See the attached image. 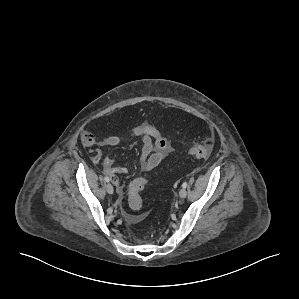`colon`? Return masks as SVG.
<instances>
[{
	"label": "colon",
	"instance_id": "colon-1",
	"mask_svg": "<svg viewBox=\"0 0 299 299\" xmlns=\"http://www.w3.org/2000/svg\"><path fill=\"white\" fill-rule=\"evenodd\" d=\"M82 141L86 145H92L94 143L93 135L84 132L82 134ZM212 152L211 143L197 144L190 148L189 155L197 158H207ZM148 180L145 178H136L134 179L128 189V201L132 209L138 210L142 206L141 191L147 186ZM144 216H140L138 220H142Z\"/></svg>",
	"mask_w": 299,
	"mask_h": 299
}]
</instances>
